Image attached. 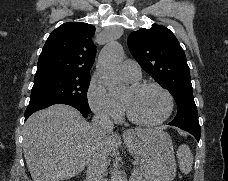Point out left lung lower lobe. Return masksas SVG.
Instances as JSON below:
<instances>
[{"mask_svg":"<svg viewBox=\"0 0 228 181\" xmlns=\"http://www.w3.org/2000/svg\"><path fill=\"white\" fill-rule=\"evenodd\" d=\"M186 131H188L189 133H191L197 141H199L200 139V128H186Z\"/></svg>","mask_w":228,"mask_h":181,"instance_id":"1","label":"left lung lower lobe"}]
</instances>
